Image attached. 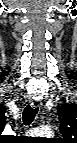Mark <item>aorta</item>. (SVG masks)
<instances>
[{"label":"aorta","instance_id":"obj_1","mask_svg":"<svg viewBox=\"0 0 77 143\" xmlns=\"http://www.w3.org/2000/svg\"><path fill=\"white\" fill-rule=\"evenodd\" d=\"M37 135H50L51 134V128L48 126H43L36 130L35 132Z\"/></svg>","mask_w":77,"mask_h":143}]
</instances>
